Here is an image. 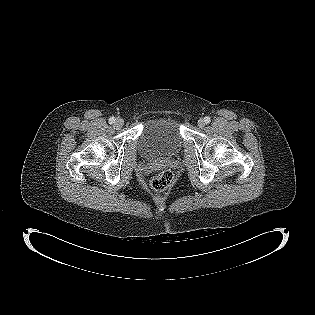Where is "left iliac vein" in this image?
<instances>
[{"instance_id": "obj_1", "label": "left iliac vein", "mask_w": 315, "mask_h": 315, "mask_svg": "<svg viewBox=\"0 0 315 315\" xmlns=\"http://www.w3.org/2000/svg\"><path fill=\"white\" fill-rule=\"evenodd\" d=\"M198 126H199L200 128H204V126H205V121H204V119L200 118V119L198 120Z\"/></svg>"}]
</instances>
